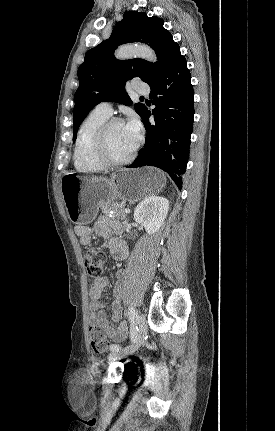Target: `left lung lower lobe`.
Wrapping results in <instances>:
<instances>
[{"instance_id":"left-lung-lower-lobe-1","label":"left lung lower lobe","mask_w":275,"mask_h":431,"mask_svg":"<svg viewBox=\"0 0 275 431\" xmlns=\"http://www.w3.org/2000/svg\"><path fill=\"white\" fill-rule=\"evenodd\" d=\"M155 124L151 112L142 116L147 131L141 153L130 167L155 166L166 171L181 189L189 158L193 131L194 91L187 62L176 45L161 72L148 82Z\"/></svg>"}]
</instances>
